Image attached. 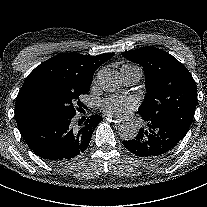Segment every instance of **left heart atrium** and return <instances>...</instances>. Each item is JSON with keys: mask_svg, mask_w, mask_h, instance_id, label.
Returning <instances> with one entry per match:
<instances>
[{"mask_svg": "<svg viewBox=\"0 0 207 207\" xmlns=\"http://www.w3.org/2000/svg\"><path fill=\"white\" fill-rule=\"evenodd\" d=\"M138 106L139 102L135 98L119 95L109 97L101 104V108L106 115L119 119L128 118Z\"/></svg>", "mask_w": 207, "mask_h": 207, "instance_id": "1", "label": "left heart atrium"}]
</instances>
